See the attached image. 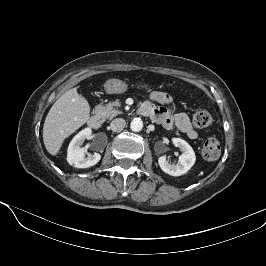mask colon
<instances>
[{
  "label": "colon",
  "instance_id": "colon-1",
  "mask_svg": "<svg viewBox=\"0 0 266 266\" xmlns=\"http://www.w3.org/2000/svg\"><path fill=\"white\" fill-rule=\"evenodd\" d=\"M212 122L210 113L203 108L197 109L193 114V123L198 128H205ZM220 154V142L212 136L205 140L202 146V155L207 160H215Z\"/></svg>",
  "mask_w": 266,
  "mask_h": 266
}]
</instances>
